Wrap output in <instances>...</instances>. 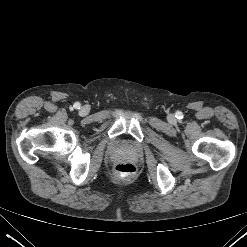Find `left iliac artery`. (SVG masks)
<instances>
[{
	"label": "left iliac artery",
	"instance_id": "1",
	"mask_svg": "<svg viewBox=\"0 0 247 247\" xmlns=\"http://www.w3.org/2000/svg\"><path fill=\"white\" fill-rule=\"evenodd\" d=\"M177 118H182V113L181 112H177V115H176Z\"/></svg>",
	"mask_w": 247,
	"mask_h": 247
}]
</instances>
